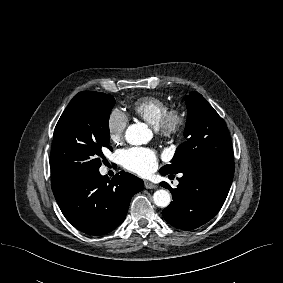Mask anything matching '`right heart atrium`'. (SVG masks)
Here are the masks:
<instances>
[{
    "mask_svg": "<svg viewBox=\"0 0 283 283\" xmlns=\"http://www.w3.org/2000/svg\"><path fill=\"white\" fill-rule=\"evenodd\" d=\"M128 125L127 116L119 109H114L107 119V131L112 142L118 143L123 139Z\"/></svg>",
    "mask_w": 283,
    "mask_h": 283,
    "instance_id": "d8ad5b80",
    "label": "right heart atrium"
}]
</instances>
